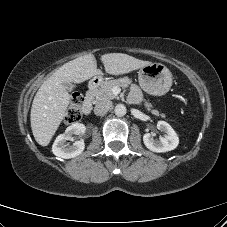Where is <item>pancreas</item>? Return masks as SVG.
I'll return each mask as SVG.
<instances>
[{
    "label": "pancreas",
    "mask_w": 227,
    "mask_h": 227,
    "mask_svg": "<svg viewBox=\"0 0 227 227\" xmlns=\"http://www.w3.org/2000/svg\"><path fill=\"white\" fill-rule=\"evenodd\" d=\"M129 84H131V80L127 77L105 81L99 88L91 91L90 96L95 102L112 100L114 98H118L117 95L112 92L114 87H127ZM144 106L147 111H150L154 115H159V112L152 109V105L147 101H145ZM161 116L165 117L164 114H161Z\"/></svg>",
    "instance_id": "obj_1"
}]
</instances>
